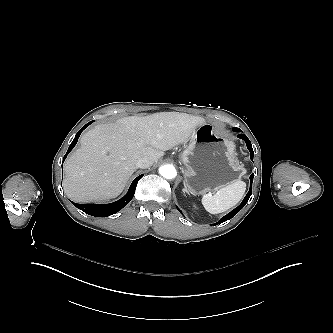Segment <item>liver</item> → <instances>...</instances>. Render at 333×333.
<instances>
[{"label":"liver","mask_w":333,"mask_h":333,"mask_svg":"<svg viewBox=\"0 0 333 333\" xmlns=\"http://www.w3.org/2000/svg\"><path fill=\"white\" fill-rule=\"evenodd\" d=\"M203 125L201 117L179 112L97 125L82 136L81 148L64 164L66 195L76 202L118 196L139 158L158 162L164 151L186 144Z\"/></svg>","instance_id":"6515ba94"}]
</instances>
